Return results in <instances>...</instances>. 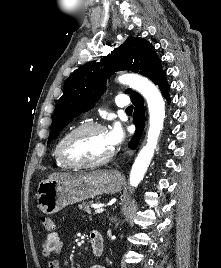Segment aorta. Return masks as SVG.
Returning a JSON list of instances; mask_svg holds the SVG:
<instances>
[{
	"label": "aorta",
	"mask_w": 221,
	"mask_h": 268,
	"mask_svg": "<svg viewBox=\"0 0 221 268\" xmlns=\"http://www.w3.org/2000/svg\"><path fill=\"white\" fill-rule=\"evenodd\" d=\"M118 81L128 85L141 93L148 104L149 109V130L147 143L138 153L130 173V185L137 187L144 177L157 146L160 132L165 119V103L158 88L148 79L136 74H123Z\"/></svg>",
	"instance_id": "1"
}]
</instances>
